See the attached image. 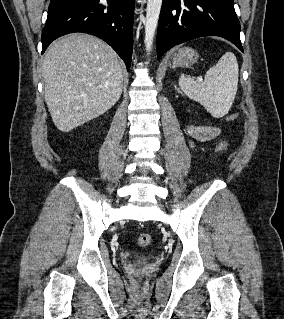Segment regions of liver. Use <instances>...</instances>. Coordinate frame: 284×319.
Wrapping results in <instances>:
<instances>
[{
	"label": "liver",
	"instance_id": "liver-1",
	"mask_svg": "<svg viewBox=\"0 0 284 319\" xmlns=\"http://www.w3.org/2000/svg\"><path fill=\"white\" fill-rule=\"evenodd\" d=\"M44 96L55 126L63 132L104 114L122 93V67L101 39L73 33L54 41L42 65Z\"/></svg>",
	"mask_w": 284,
	"mask_h": 319
}]
</instances>
